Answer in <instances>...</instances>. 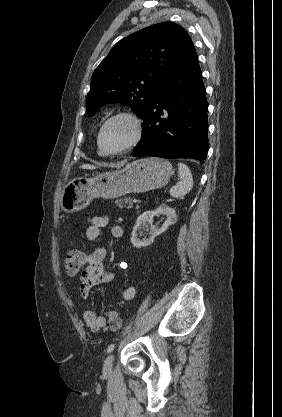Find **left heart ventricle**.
<instances>
[{
	"instance_id": "b2bd125f",
	"label": "left heart ventricle",
	"mask_w": 282,
	"mask_h": 417,
	"mask_svg": "<svg viewBox=\"0 0 282 417\" xmlns=\"http://www.w3.org/2000/svg\"><path fill=\"white\" fill-rule=\"evenodd\" d=\"M130 130L125 123H116L110 127L103 139V145L106 149H113L127 140Z\"/></svg>"
}]
</instances>
